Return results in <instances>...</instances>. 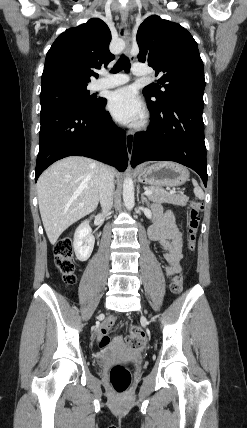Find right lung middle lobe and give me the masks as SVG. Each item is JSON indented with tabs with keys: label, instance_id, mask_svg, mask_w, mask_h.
<instances>
[{
	"label": "right lung middle lobe",
	"instance_id": "dd1d6c3e",
	"mask_svg": "<svg viewBox=\"0 0 247 428\" xmlns=\"http://www.w3.org/2000/svg\"><path fill=\"white\" fill-rule=\"evenodd\" d=\"M87 86H63L40 94L41 110L66 106L80 110H92L102 102V98L90 95Z\"/></svg>",
	"mask_w": 247,
	"mask_h": 428
}]
</instances>
